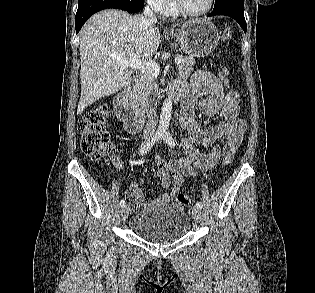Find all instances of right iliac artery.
Listing matches in <instances>:
<instances>
[{
	"instance_id": "1",
	"label": "right iliac artery",
	"mask_w": 315,
	"mask_h": 293,
	"mask_svg": "<svg viewBox=\"0 0 315 293\" xmlns=\"http://www.w3.org/2000/svg\"><path fill=\"white\" fill-rule=\"evenodd\" d=\"M162 137V133L157 132L151 139H148L147 141L142 142V144L140 145L139 148V152L141 155L146 154L151 148L152 146ZM120 206H124L125 205V200L122 199L119 203Z\"/></svg>"
}]
</instances>
